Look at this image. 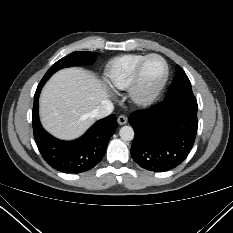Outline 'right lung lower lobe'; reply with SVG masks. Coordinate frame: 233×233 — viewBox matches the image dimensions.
I'll list each match as a JSON object with an SVG mask.
<instances>
[{
    "mask_svg": "<svg viewBox=\"0 0 233 233\" xmlns=\"http://www.w3.org/2000/svg\"><path fill=\"white\" fill-rule=\"evenodd\" d=\"M44 84H39L34 95L32 123L34 139L44 160L65 173H81L96 166L103 158L107 144L117 129L116 116L97 121L82 137L61 141L46 132L39 121L38 98Z\"/></svg>",
    "mask_w": 233,
    "mask_h": 233,
    "instance_id": "right-lung-lower-lobe-1",
    "label": "right lung lower lobe"
}]
</instances>
